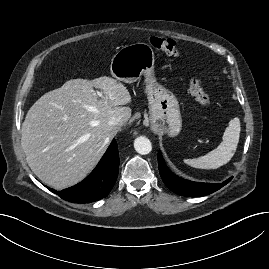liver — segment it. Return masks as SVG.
Here are the masks:
<instances>
[{
    "instance_id": "liver-1",
    "label": "liver",
    "mask_w": 269,
    "mask_h": 269,
    "mask_svg": "<svg viewBox=\"0 0 269 269\" xmlns=\"http://www.w3.org/2000/svg\"><path fill=\"white\" fill-rule=\"evenodd\" d=\"M102 91L98 99L95 89ZM128 89L116 79H72L41 96L21 127V145L34 174L45 184L63 189L84 179L107 146L131 117ZM121 117L122 124L108 121Z\"/></svg>"
}]
</instances>
